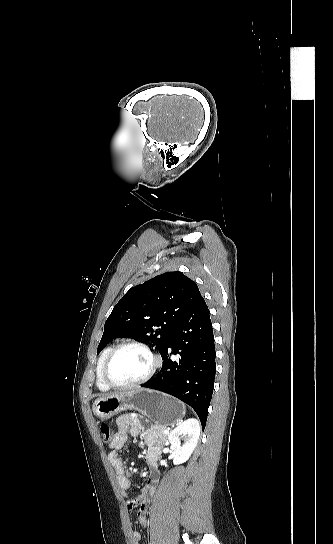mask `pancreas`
<instances>
[{
    "mask_svg": "<svg viewBox=\"0 0 333 544\" xmlns=\"http://www.w3.org/2000/svg\"><path fill=\"white\" fill-rule=\"evenodd\" d=\"M164 431L165 427L163 426H154L152 428V432L157 434L162 439V441H166L167 439V434H165Z\"/></svg>",
    "mask_w": 333,
    "mask_h": 544,
    "instance_id": "cf45deb5",
    "label": "pancreas"
}]
</instances>
